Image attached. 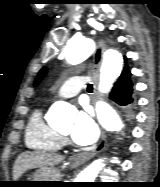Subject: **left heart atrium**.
<instances>
[{
  "label": "left heart atrium",
  "mask_w": 160,
  "mask_h": 187,
  "mask_svg": "<svg viewBox=\"0 0 160 187\" xmlns=\"http://www.w3.org/2000/svg\"><path fill=\"white\" fill-rule=\"evenodd\" d=\"M99 136V129L88 109H82L71 131L72 140L78 145H91Z\"/></svg>",
  "instance_id": "1"
}]
</instances>
